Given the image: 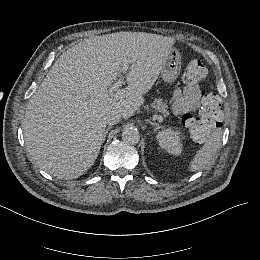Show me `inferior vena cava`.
<instances>
[{
    "instance_id": "602c4592",
    "label": "inferior vena cava",
    "mask_w": 260,
    "mask_h": 260,
    "mask_svg": "<svg viewBox=\"0 0 260 260\" xmlns=\"http://www.w3.org/2000/svg\"><path fill=\"white\" fill-rule=\"evenodd\" d=\"M120 119H121V116L118 114V112L113 111L107 115L105 123L108 126H113V125L117 124L120 121ZM99 126H101V124Z\"/></svg>"
}]
</instances>
